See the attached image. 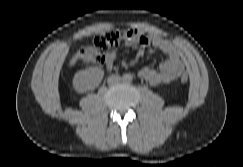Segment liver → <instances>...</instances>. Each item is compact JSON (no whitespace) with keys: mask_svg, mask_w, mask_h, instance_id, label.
Here are the masks:
<instances>
[{"mask_svg":"<svg viewBox=\"0 0 243 167\" xmlns=\"http://www.w3.org/2000/svg\"><path fill=\"white\" fill-rule=\"evenodd\" d=\"M80 57V53L75 54L69 61V66H74Z\"/></svg>","mask_w":243,"mask_h":167,"instance_id":"1","label":"liver"}]
</instances>
